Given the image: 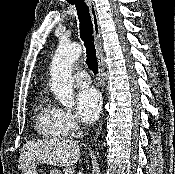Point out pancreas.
I'll list each match as a JSON object with an SVG mask.
<instances>
[{
  "mask_svg": "<svg viewBox=\"0 0 175 174\" xmlns=\"http://www.w3.org/2000/svg\"><path fill=\"white\" fill-rule=\"evenodd\" d=\"M54 171L55 170H52L50 174H54L53 173ZM63 173L64 174H74V170H73V168H67V169H64Z\"/></svg>",
  "mask_w": 175,
  "mask_h": 174,
  "instance_id": "1",
  "label": "pancreas"
}]
</instances>
